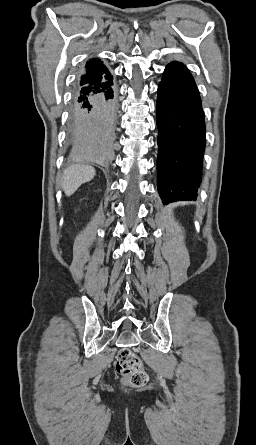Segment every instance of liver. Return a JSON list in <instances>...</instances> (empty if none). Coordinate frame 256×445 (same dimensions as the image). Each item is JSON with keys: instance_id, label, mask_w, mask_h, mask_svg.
<instances>
[{"instance_id": "6515ba94", "label": "liver", "mask_w": 256, "mask_h": 445, "mask_svg": "<svg viewBox=\"0 0 256 445\" xmlns=\"http://www.w3.org/2000/svg\"><path fill=\"white\" fill-rule=\"evenodd\" d=\"M95 169L84 164L71 165L64 170L61 187L67 196L72 195L83 183L92 180Z\"/></svg>"}]
</instances>
